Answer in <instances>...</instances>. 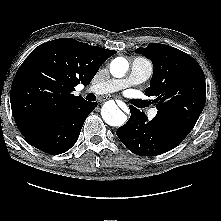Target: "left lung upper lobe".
I'll list each match as a JSON object with an SVG mask.
<instances>
[{
    "mask_svg": "<svg viewBox=\"0 0 221 221\" xmlns=\"http://www.w3.org/2000/svg\"><path fill=\"white\" fill-rule=\"evenodd\" d=\"M154 66L146 96H153L157 117L164 120L179 138L193 129L206 101L204 73L198 62L181 50L159 43L137 48Z\"/></svg>",
    "mask_w": 221,
    "mask_h": 221,
    "instance_id": "obj_1",
    "label": "left lung upper lobe"
}]
</instances>
